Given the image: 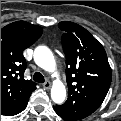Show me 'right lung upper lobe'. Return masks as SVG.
Here are the masks:
<instances>
[{"mask_svg":"<svg viewBox=\"0 0 121 121\" xmlns=\"http://www.w3.org/2000/svg\"><path fill=\"white\" fill-rule=\"evenodd\" d=\"M42 28L25 21L1 29V115L22 105L36 89L24 79L26 60L23 51L42 35Z\"/></svg>","mask_w":121,"mask_h":121,"instance_id":"1","label":"right lung upper lobe"}]
</instances>
